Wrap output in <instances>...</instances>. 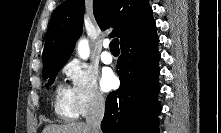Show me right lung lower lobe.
Segmentation results:
<instances>
[{
  "label": "right lung lower lobe",
  "instance_id": "98d812e1",
  "mask_svg": "<svg viewBox=\"0 0 221 133\" xmlns=\"http://www.w3.org/2000/svg\"><path fill=\"white\" fill-rule=\"evenodd\" d=\"M158 43L154 32L121 45L117 63L121 85L107 97L101 123L104 133H158Z\"/></svg>",
  "mask_w": 221,
  "mask_h": 133
}]
</instances>
